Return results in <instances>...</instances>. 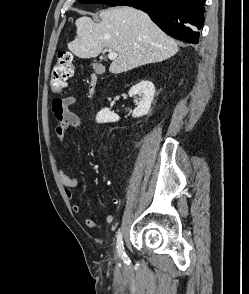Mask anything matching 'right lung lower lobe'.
<instances>
[{
    "instance_id": "1",
    "label": "right lung lower lobe",
    "mask_w": 249,
    "mask_h": 294,
    "mask_svg": "<svg viewBox=\"0 0 249 294\" xmlns=\"http://www.w3.org/2000/svg\"><path fill=\"white\" fill-rule=\"evenodd\" d=\"M206 0H122L119 5L142 9L165 33L188 43L199 42Z\"/></svg>"
}]
</instances>
